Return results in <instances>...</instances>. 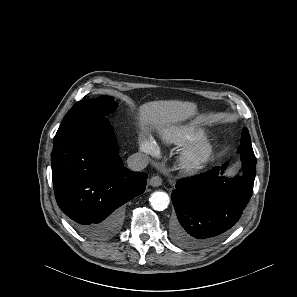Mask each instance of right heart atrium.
Masks as SVG:
<instances>
[{"instance_id":"obj_1","label":"right heart atrium","mask_w":297,"mask_h":297,"mask_svg":"<svg viewBox=\"0 0 297 297\" xmlns=\"http://www.w3.org/2000/svg\"><path fill=\"white\" fill-rule=\"evenodd\" d=\"M140 150L146 154L154 155L156 153V145L150 138H142L140 141Z\"/></svg>"}]
</instances>
